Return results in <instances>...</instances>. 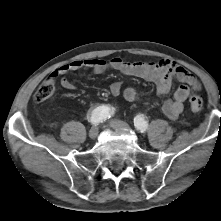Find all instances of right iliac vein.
I'll return each instance as SVG.
<instances>
[{
  "label": "right iliac vein",
  "mask_w": 221,
  "mask_h": 221,
  "mask_svg": "<svg viewBox=\"0 0 221 221\" xmlns=\"http://www.w3.org/2000/svg\"><path fill=\"white\" fill-rule=\"evenodd\" d=\"M99 133V129L97 126H93L90 130H89V137L91 139H95L98 136Z\"/></svg>",
  "instance_id": "right-iliac-vein-1"
}]
</instances>
